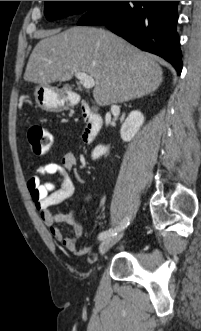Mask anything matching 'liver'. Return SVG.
Instances as JSON below:
<instances>
[{"mask_svg":"<svg viewBox=\"0 0 201 331\" xmlns=\"http://www.w3.org/2000/svg\"><path fill=\"white\" fill-rule=\"evenodd\" d=\"M78 72L94 79L93 96L100 106L141 98L163 81L153 56L109 31L88 27L46 33L29 57L24 80L48 86Z\"/></svg>","mask_w":201,"mask_h":331,"instance_id":"6515ba94","label":"liver"}]
</instances>
